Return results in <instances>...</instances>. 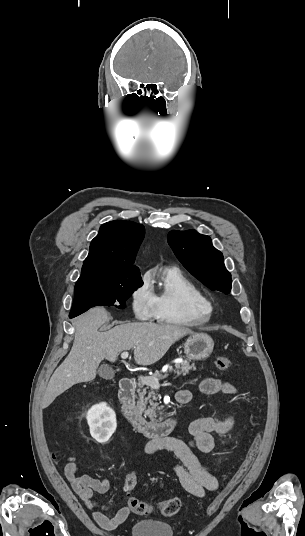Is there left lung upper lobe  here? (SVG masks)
Segmentation results:
<instances>
[{"mask_svg":"<svg viewBox=\"0 0 305 536\" xmlns=\"http://www.w3.org/2000/svg\"><path fill=\"white\" fill-rule=\"evenodd\" d=\"M168 243L184 267L212 290L228 294L231 274L226 270L224 258L212 245L210 237L195 230L171 231Z\"/></svg>","mask_w":305,"mask_h":536,"instance_id":"1","label":"left lung upper lobe"}]
</instances>
